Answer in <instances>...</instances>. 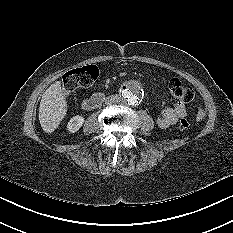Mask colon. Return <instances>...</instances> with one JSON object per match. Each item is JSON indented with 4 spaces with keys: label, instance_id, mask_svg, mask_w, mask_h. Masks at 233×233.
I'll return each mask as SVG.
<instances>
[{
    "label": "colon",
    "instance_id": "1",
    "mask_svg": "<svg viewBox=\"0 0 233 233\" xmlns=\"http://www.w3.org/2000/svg\"><path fill=\"white\" fill-rule=\"evenodd\" d=\"M99 74L95 65H87L66 72L62 78L63 91L66 95L71 94L79 88L89 87L97 79ZM169 90L173 97L186 103L195 100V91L192 86L178 78L169 81ZM190 123L187 119H181L179 128L187 130Z\"/></svg>",
    "mask_w": 233,
    "mask_h": 233
}]
</instances>
